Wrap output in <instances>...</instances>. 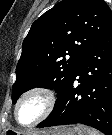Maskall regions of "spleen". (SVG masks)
<instances>
[{"label": "spleen", "mask_w": 112, "mask_h": 135, "mask_svg": "<svg viewBox=\"0 0 112 135\" xmlns=\"http://www.w3.org/2000/svg\"><path fill=\"white\" fill-rule=\"evenodd\" d=\"M85 135H102L101 133H99L97 130H93V129H86L85 131Z\"/></svg>", "instance_id": "obj_1"}]
</instances>
